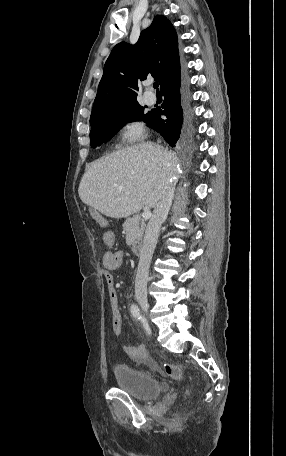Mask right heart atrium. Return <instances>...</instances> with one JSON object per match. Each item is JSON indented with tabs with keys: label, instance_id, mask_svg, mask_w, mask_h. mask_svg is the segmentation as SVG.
Listing matches in <instances>:
<instances>
[{
	"label": "right heart atrium",
	"instance_id": "right-heart-atrium-1",
	"mask_svg": "<svg viewBox=\"0 0 286 456\" xmlns=\"http://www.w3.org/2000/svg\"><path fill=\"white\" fill-rule=\"evenodd\" d=\"M146 127L144 122L137 117L126 118L118 131V137L122 144H133L145 137Z\"/></svg>",
	"mask_w": 286,
	"mask_h": 456
}]
</instances>
